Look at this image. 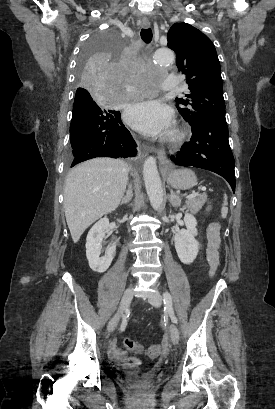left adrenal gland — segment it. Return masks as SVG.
Segmentation results:
<instances>
[{"label": "left adrenal gland", "mask_w": 275, "mask_h": 409, "mask_svg": "<svg viewBox=\"0 0 275 409\" xmlns=\"http://www.w3.org/2000/svg\"><path fill=\"white\" fill-rule=\"evenodd\" d=\"M169 202H171L172 207H180L181 198L174 192L173 188H170V196H168Z\"/></svg>", "instance_id": "1"}]
</instances>
